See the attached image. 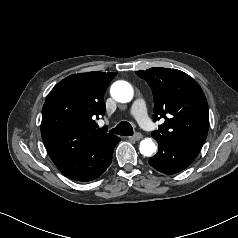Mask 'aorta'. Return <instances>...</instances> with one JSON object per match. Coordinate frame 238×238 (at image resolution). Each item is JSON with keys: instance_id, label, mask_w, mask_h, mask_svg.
I'll return each mask as SVG.
<instances>
[{"instance_id": "aorta-1", "label": "aorta", "mask_w": 238, "mask_h": 238, "mask_svg": "<svg viewBox=\"0 0 238 238\" xmlns=\"http://www.w3.org/2000/svg\"><path fill=\"white\" fill-rule=\"evenodd\" d=\"M111 96L120 103H127L133 99L134 91L132 86L126 81H116L110 88ZM140 153L151 157L156 153L157 146L151 138L143 139L139 146Z\"/></svg>"}]
</instances>
